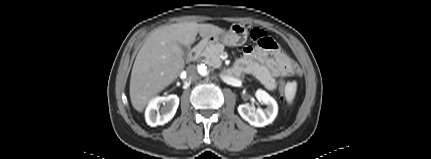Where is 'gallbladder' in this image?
<instances>
[{
    "label": "gallbladder",
    "instance_id": "bac80fb5",
    "mask_svg": "<svg viewBox=\"0 0 431 159\" xmlns=\"http://www.w3.org/2000/svg\"><path fill=\"white\" fill-rule=\"evenodd\" d=\"M180 47H181V49H182V51H183V54H184L185 56H187V55H188V53H189V47H188V46H185V45H180Z\"/></svg>",
    "mask_w": 431,
    "mask_h": 159
}]
</instances>
